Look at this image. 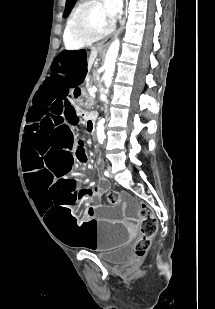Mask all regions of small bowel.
I'll return each mask as SVG.
<instances>
[{"label":"small bowel","instance_id":"small-bowel-1","mask_svg":"<svg viewBox=\"0 0 215 309\" xmlns=\"http://www.w3.org/2000/svg\"><path fill=\"white\" fill-rule=\"evenodd\" d=\"M103 192H104V189L101 186H96L91 190V195L95 202L100 201Z\"/></svg>","mask_w":215,"mask_h":309}]
</instances>
